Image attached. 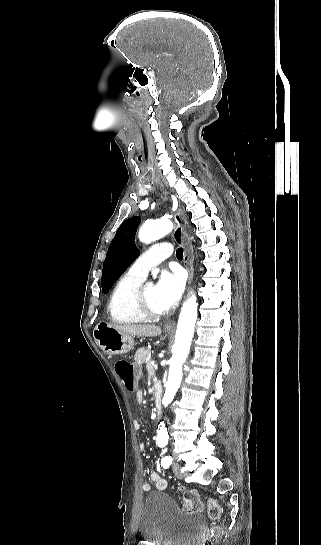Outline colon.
Masks as SVG:
<instances>
[{"label":"colon","mask_w":321,"mask_h":545,"mask_svg":"<svg viewBox=\"0 0 321 545\" xmlns=\"http://www.w3.org/2000/svg\"><path fill=\"white\" fill-rule=\"evenodd\" d=\"M115 371L123 381L126 389L133 390L135 388V372L132 364L126 360H119L115 364ZM183 502L185 509L192 512H200L202 503L198 495L193 491L183 492ZM208 515L213 520H219L221 517V509L217 501L210 500L208 502ZM219 534V528L215 527L211 530L209 537L204 545H214Z\"/></svg>","instance_id":"1"}]
</instances>
